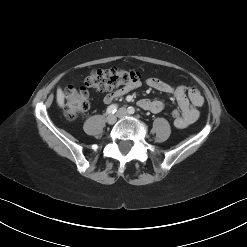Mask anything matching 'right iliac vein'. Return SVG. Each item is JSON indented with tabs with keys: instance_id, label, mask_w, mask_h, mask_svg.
<instances>
[{
	"instance_id": "63e3f726",
	"label": "right iliac vein",
	"mask_w": 247,
	"mask_h": 247,
	"mask_svg": "<svg viewBox=\"0 0 247 247\" xmlns=\"http://www.w3.org/2000/svg\"><path fill=\"white\" fill-rule=\"evenodd\" d=\"M117 120V117L115 115H109L106 119L107 123L110 125H113Z\"/></svg>"
}]
</instances>
